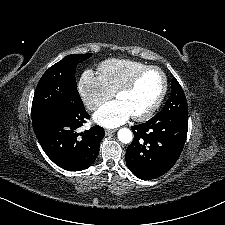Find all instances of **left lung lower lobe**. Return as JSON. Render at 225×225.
Returning <instances> with one entry per match:
<instances>
[{
	"instance_id": "left-lung-lower-lobe-1",
	"label": "left lung lower lobe",
	"mask_w": 225,
	"mask_h": 225,
	"mask_svg": "<svg viewBox=\"0 0 225 225\" xmlns=\"http://www.w3.org/2000/svg\"><path fill=\"white\" fill-rule=\"evenodd\" d=\"M133 142L126 150L129 170L142 180L158 178L178 160L186 141L188 120H148L132 126Z\"/></svg>"
}]
</instances>
